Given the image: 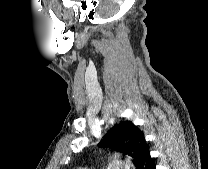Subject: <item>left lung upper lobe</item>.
<instances>
[{
	"label": "left lung upper lobe",
	"mask_w": 208,
	"mask_h": 169,
	"mask_svg": "<svg viewBox=\"0 0 208 169\" xmlns=\"http://www.w3.org/2000/svg\"><path fill=\"white\" fill-rule=\"evenodd\" d=\"M98 147H110L113 150L133 157L137 166L141 155L149 149L143 132L131 121H123L111 128Z\"/></svg>",
	"instance_id": "left-lung-upper-lobe-1"
}]
</instances>
